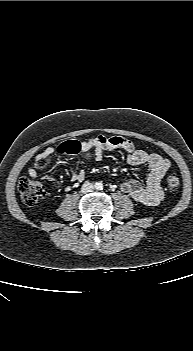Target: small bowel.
I'll list each match as a JSON object with an SVG mask.
<instances>
[{
    "label": "small bowel",
    "instance_id": "small-bowel-1",
    "mask_svg": "<svg viewBox=\"0 0 193 351\" xmlns=\"http://www.w3.org/2000/svg\"><path fill=\"white\" fill-rule=\"evenodd\" d=\"M119 149L127 153V162L130 165H146L149 168L145 184L135 179L123 181L120 184L121 191L136 202L146 206L158 204L164 196L161 181L170 168V162L159 154L137 149L130 139L122 136L107 137L98 135L87 140L62 141L58 143L55 148L51 146L46 147L36 156L34 162L28 169V174L32 178H36L38 176V161L54 153L63 157L67 154L81 156L86 152L92 151L94 158L99 161L102 159L105 151ZM84 178L85 172L83 169L70 168V179L73 183H80ZM47 179L49 181H54L52 176H48Z\"/></svg>",
    "mask_w": 193,
    "mask_h": 351
}]
</instances>
